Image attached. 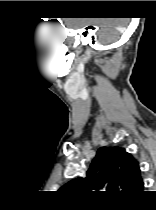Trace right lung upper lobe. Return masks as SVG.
Wrapping results in <instances>:
<instances>
[{"instance_id":"right-lung-upper-lobe-1","label":"right lung upper lobe","mask_w":156,"mask_h":210,"mask_svg":"<svg viewBox=\"0 0 156 210\" xmlns=\"http://www.w3.org/2000/svg\"><path fill=\"white\" fill-rule=\"evenodd\" d=\"M144 187L138 162L122 147H101L84 178L79 177L61 189L84 194H108L132 200ZM105 191V192H100Z\"/></svg>"}]
</instances>
